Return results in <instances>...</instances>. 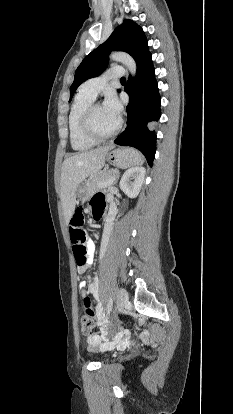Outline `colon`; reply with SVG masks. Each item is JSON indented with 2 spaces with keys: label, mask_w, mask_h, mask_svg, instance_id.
I'll list each match as a JSON object with an SVG mask.
<instances>
[{
  "label": "colon",
  "mask_w": 233,
  "mask_h": 414,
  "mask_svg": "<svg viewBox=\"0 0 233 414\" xmlns=\"http://www.w3.org/2000/svg\"><path fill=\"white\" fill-rule=\"evenodd\" d=\"M84 223L83 213L77 209L70 223V237L72 248L77 265H84L87 261V234L82 228ZM84 315L82 317V331L90 334L95 327L96 314L92 308L91 299L88 296L83 298Z\"/></svg>",
  "instance_id": "1"
}]
</instances>
